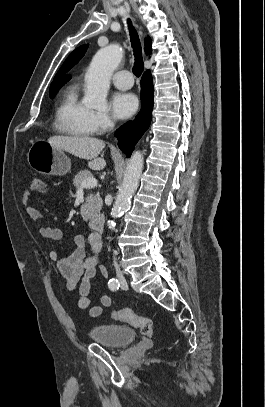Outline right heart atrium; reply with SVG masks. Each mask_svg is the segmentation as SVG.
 <instances>
[{
  "label": "right heart atrium",
  "instance_id": "right-heart-atrium-1",
  "mask_svg": "<svg viewBox=\"0 0 265 407\" xmlns=\"http://www.w3.org/2000/svg\"><path fill=\"white\" fill-rule=\"evenodd\" d=\"M90 122L94 132L100 133L111 128L114 119L107 112L91 111Z\"/></svg>",
  "mask_w": 265,
  "mask_h": 407
}]
</instances>
